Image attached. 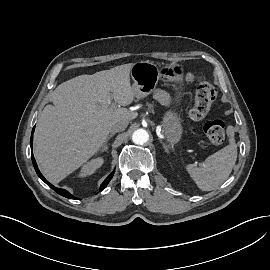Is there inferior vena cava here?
Returning a JSON list of instances; mask_svg holds the SVG:
<instances>
[{"label":"inferior vena cava","mask_w":270,"mask_h":270,"mask_svg":"<svg viewBox=\"0 0 270 270\" xmlns=\"http://www.w3.org/2000/svg\"><path fill=\"white\" fill-rule=\"evenodd\" d=\"M127 126H128V121H119V122L113 123L110 127V132L116 133V132L123 131L127 128Z\"/></svg>","instance_id":"inferior-vena-cava-1"}]
</instances>
